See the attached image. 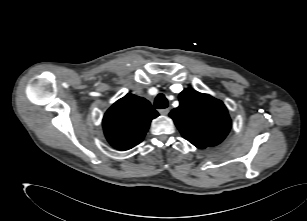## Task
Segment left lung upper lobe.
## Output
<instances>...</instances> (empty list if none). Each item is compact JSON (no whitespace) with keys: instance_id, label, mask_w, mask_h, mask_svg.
<instances>
[{"instance_id":"5c2ea615","label":"left lung upper lobe","mask_w":307,"mask_h":221,"mask_svg":"<svg viewBox=\"0 0 307 221\" xmlns=\"http://www.w3.org/2000/svg\"><path fill=\"white\" fill-rule=\"evenodd\" d=\"M180 105L169 116L182 136L200 149L218 145L231 128V119L222 101L192 89L179 94Z\"/></svg>"}]
</instances>
